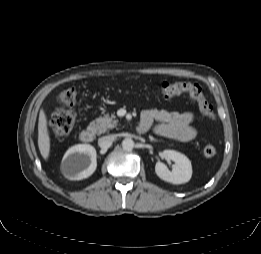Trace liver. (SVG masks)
Segmentation results:
<instances>
[{
  "label": "liver",
  "instance_id": "obj_1",
  "mask_svg": "<svg viewBox=\"0 0 261 254\" xmlns=\"http://www.w3.org/2000/svg\"><path fill=\"white\" fill-rule=\"evenodd\" d=\"M38 147L42 157L46 160L50 153V137L47 128V118L44 110H41L39 114Z\"/></svg>",
  "mask_w": 261,
  "mask_h": 254
}]
</instances>
